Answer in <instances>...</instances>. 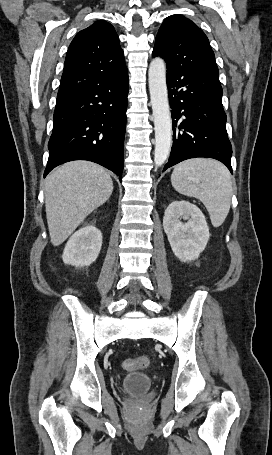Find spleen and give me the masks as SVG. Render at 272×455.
<instances>
[{"instance_id":"obj_1","label":"spleen","mask_w":272,"mask_h":455,"mask_svg":"<svg viewBox=\"0 0 272 455\" xmlns=\"http://www.w3.org/2000/svg\"><path fill=\"white\" fill-rule=\"evenodd\" d=\"M171 183L185 196L199 199L214 227L222 225L231 205L232 181L228 169L212 159L195 158L175 166Z\"/></svg>"}]
</instances>
